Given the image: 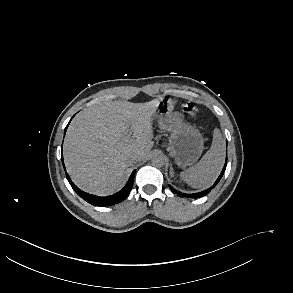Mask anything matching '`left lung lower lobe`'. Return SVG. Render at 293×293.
Listing matches in <instances>:
<instances>
[{"label": "left lung lower lobe", "mask_w": 293, "mask_h": 293, "mask_svg": "<svg viewBox=\"0 0 293 293\" xmlns=\"http://www.w3.org/2000/svg\"><path fill=\"white\" fill-rule=\"evenodd\" d=\"M226 165H227V158H226L225 165H224V167H223V170H222L221 174L219 175V177L217 178V180L215 181V183L213 184V186L210 187V188H208V189L205 190V191H202V192H199V193H194V194H184V193L178 192V191L175 190L172 186H169V187H170V189H171L174 193H176V194H178V195H180V196L190 197V198H199V197H203V196L207 195V194L211 191V189L214 188V187L217 185V183L220 181V179L222 178L223 173H224V171H225V169H226Z\"/></svg>", "instance_id": "left-lung-lower-lobe-1"}]
</instances>
